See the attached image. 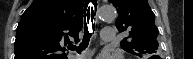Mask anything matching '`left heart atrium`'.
Returning <instances> with one entry per match:
<instances>
[{
  "instance_id": "1",
  "label": "left heart atrium",
  "mask_w": 193,
  "mask_h": 59,
  "mask_svg": "<svg viewBox=\"0 0 193 59\" xmlns=\"http://www.w3.org/2000/svg\"><path fill=\"white\" fill-rule=\"evenodd\" d=\"M98 59H113V58L99 57Z\"/></svg>"
}]
</instances>
